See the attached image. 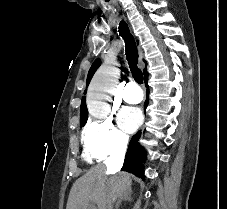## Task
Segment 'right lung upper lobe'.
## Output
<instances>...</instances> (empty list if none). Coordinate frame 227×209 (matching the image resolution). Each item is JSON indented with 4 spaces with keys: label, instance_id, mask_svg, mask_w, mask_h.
Segmentation results:
<instances>
[{
    "label": "right lung upper lobe",
    "instance_id": "right-lung-upper-lobe-1",
    "mask_svg": "<svg viewBox=\"0 0 227 209\" xmlns=\"http://www.w3.org/2000/svg\"><path fill=\"white\" fill-rule=\"evenodd\" d=\"M143 62L145 64H147L145 60H143ZM100 64H101L100 59H96L94 61V63L92 64L91 68L89 69L88 76H87V81H86V85L89 84L92 76L94 75L95 71L100 66ZM143 73H144V78L148 76V73H147L146 68L143 70ZM84 93H86V90H85ZM85 118H88V111H87V107H86L85 97H83L82 98V102H81L80 119H85Z\"/></svg>",
    "mask_w": 227,
    "mask_h": 209
}]
</instances>
